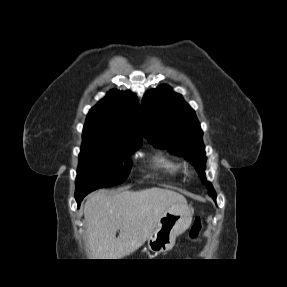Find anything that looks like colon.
Masks as SVG:
<instances>
[{
  "label": "colon",
  "instance_id": "colon-1",
  "mask_svg": "<svg viewBox=\"0 0 287 287\" xmlns=\"http://www.w3.org/2000/svg\"><path fill=\"white\" fill-rule=\"evenodd\" d=\"M202 229V216H197L190 230V238L195 240L199 237Z\"/></svg>",
  "mask_w": 287,
  "mask_h": 287
}]
</instances>
